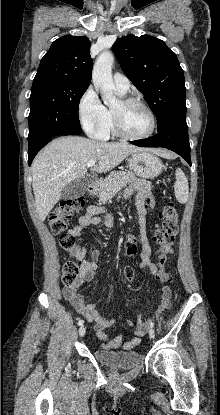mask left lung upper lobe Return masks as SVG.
<instances>
[{
    "instance_id": "obj_1",
    "label": "left lung upper lobe",
    "mask_w": 220,
    "mask_h": 415,
    "mask_svg": "<svg viewBox=\"0 0 220 415\" xmlns=\"http://www.w3.org/2000/svg\"><path fill=\"white\" fill-rule=\"evenodd\" d=\"M113 51L123 72L145 96L158 127L172 115L186 112L184 72L164 41L128 35L116 40Z\"/></svg>"
}]
</instances>
